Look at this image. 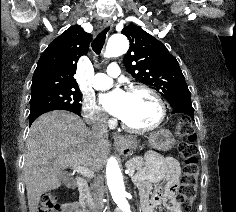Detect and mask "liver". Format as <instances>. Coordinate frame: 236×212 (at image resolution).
Returning a JSON list of instances; mask_svg holds the SVG:
<instances>
[{"label":"liver","instance_id":"liver-1","mask_svg":"<svg viewBox=\"0 0 236 212\" xmlns=\"http://www.w3.org/2000/svg\"><path fill=\"white\" fill-rule=\"evenodd\" d=\"M109 146L74 113L57 110L38 117L30 127L23 169L29 212H37L44 192L61 186L60 174L67 167L100 171Z\"/></svg>","mask_w":236,"mask_h":212}]
</instances>
